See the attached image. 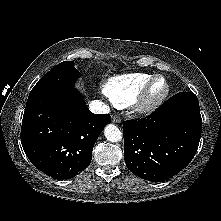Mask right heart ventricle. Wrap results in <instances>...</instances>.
<instances>
[{
  "label": "right heart ventricle",
  "instance_id": "right-heart-ventricle-1",
  "mask_svg": "<svg viewBox=\"0 0 221 221\" xmlns=\"http://www.w3.org/2000/svg\"><path fill=\"white\" fill-rule=\"evenodd\" d=\"M153 75L145 72H132L115 75L103 84V93L117 107L133 103L140 91Z\"/></svg>",
  "mask_w": 221,
  "mask_h": 221
}]
</instances>
